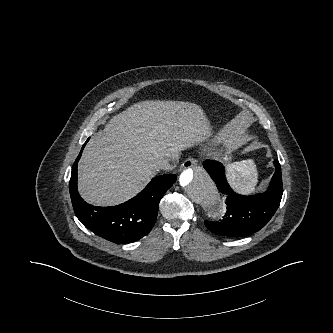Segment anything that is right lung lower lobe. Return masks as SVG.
Here are the masks:
<instances>
[{"mask_svg": "<svg viewBox=\"0 0 333 333\" xmlns=\"http://www.w3.org/2000/svg\"><path fill=\"white\" fill-rule=\"evenodd\" d=\"M85 144L73 165L69 182L75 215L86 228L114 243H128L142 238L152 229L159 202L176 181V175L153 178L137 196L118 206H92L80 197L77 190V165Z\"/></svg>", "mask_w": 333, "mask_h": 333, "instance_id": "98d812e1", "label": "right lung lower lobe"}]
</instances>
